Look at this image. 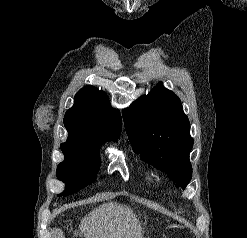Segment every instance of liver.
Segmentation results:
<instances>
[{
    "instance_id": "liver-1",
    "label": "liver",
    "mask_w": 247,
    "mask_h": 238,
    "mask_svg": "<svg viewBox=\"0 0 247 238\" xmlns=\"http://www.w3.org/2000/svg\"><path fill=\"white\" fill-rule=\"evenodd\" d=\"M80 232L85 238H142V228L133 211L112 202L97 207L83 218Z\"/></svg>"
}]
</instances>
